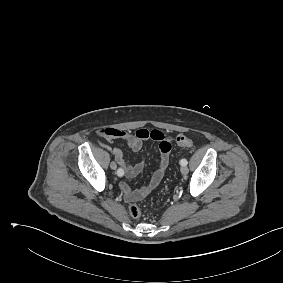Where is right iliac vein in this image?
<instances>
[{
    "label": "right iliac vein",
    "instance_id": "1",
    "mask_svg": "<svg viewBox=\"0 0 283 283\" xmlns=\"http://www.w3.org/2000/svg\"><path fill=\"white\" fill-rule=\"evenodd\" d=\"M110 168H111L112 170H115V169L117 168V165H116V163H115L114 161H112V162L110 163Z\"/></svg>",
    "mask_w": 283,
    "mask_h": 283
}]
</instances>
